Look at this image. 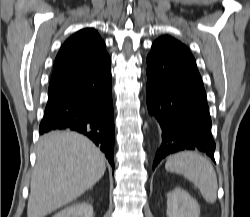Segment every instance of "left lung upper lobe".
Returning a JSON list of instances; mask_svg holds the SVG:
<instances>
[{
    "mask_svg": "<svg viewBox=\"0 0 250 217\" xmlns=\"http://www.w3.org/2000/svg\"><path fill=\"white\" fill-rule=\"evenodd\" d=\"M156 41H166V42H170V43H173V44L185 46V45L182 44L181 42H179V41H177V40H175L174 38L169 37V36L160 37V38H158ZM185 47H186V46H185Z\"/></svg>",
    "mask_w": 250,
    "mask_h": 217,
    "instance_id": "obj_1",
    "label": "left lung upper lobe"
}]
</instances>
